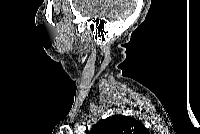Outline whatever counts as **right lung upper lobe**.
<instances>
[{
    "instance_id": "right-lung-upper-lobe-1",
    "label": "right lung upper lobe",
    "mask_w": 200,
    "mask_h": 134,
    "mask_svg": "<svg viewBox=\"0 0 200 134\" xmlns=\"http://www.w3.org/2000/svg\"><path fill=\"white\" fill-rule=\"evenodd\" d=\"M138 120L124 115H114L97 122L88 134H147Z\"/></svg>"
}]
</instances>
